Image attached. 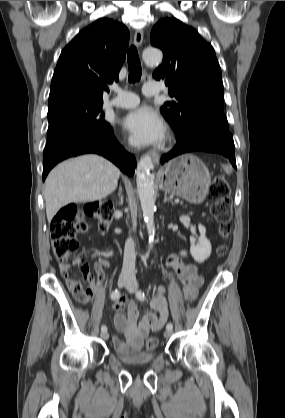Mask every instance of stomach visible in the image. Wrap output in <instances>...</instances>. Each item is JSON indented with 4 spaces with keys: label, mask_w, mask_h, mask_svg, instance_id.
Segmentation results:
<instances>
[{
    "label": "stomach",
    "mask_w": 285,
    "mask_h": 418,
    "mask_svg": "<svg viewBox=\"0 0 285 418\" xmlns=\"http://www.w3.org/2000/svg\"><path fill=\"white\" fill-rule=\"evenodd\" d=\"M162 189L191 203L204 201L211 182L205 164L192 154L169 161L159 172Z\"/></svg>",
    "instance_id": "obj_1"
}]
</instances>
